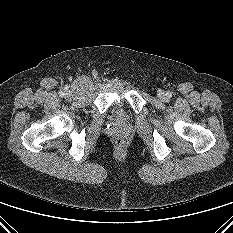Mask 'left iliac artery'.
I'll return each instance as SVG.
<instances>
[{"mask_svg": "<svg viewBox=\"0 0 233 233\" xmlns=\"http://www.w3.org/2000/svg\"><path fill=\"white\" fill-rule=\"evenodd\" d=\"M166 95H167L168 98H170L172 96V93L171 92H167Z\"/></svg>", "mask_w": 233, "mask_h": 233, "instance_id": "obj_1", "label": "left iliac artery"}]
</instances>
